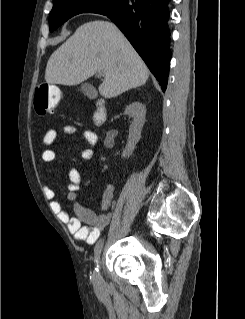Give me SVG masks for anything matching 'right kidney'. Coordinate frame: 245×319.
I'll list each match as a JSON object with an SVG mask.
<instances>
[{
  "label": "right kidney",
  "instance_id": "1",
  "mask_svg": "<svg viewBox=\"0 0 245 319\" xmlns=\"http://www.w3.org/2000/svg\"><path fill=\"white\" fill-rule=\"evenodd\" d=\"M124 114L133 118L129 128L127 146L123 150L122 155L124 158H128L133 154L136 144L141 138V131L145 123L146 107L144 104L136 101L126 107Z\"/></svg>",
  "mask_w": 245,
  "mask_h": 319
}]
</instances>
